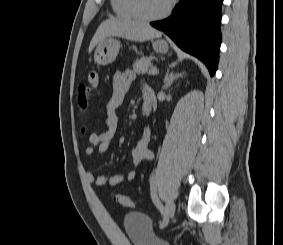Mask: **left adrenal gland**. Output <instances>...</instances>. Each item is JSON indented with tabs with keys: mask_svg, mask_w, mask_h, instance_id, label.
Instances as JSON below:
<instances>
[{
	"mask_svg": "<svg viewBox=\"0 0 283 245\" xmlns=\"http://www.w3.org/2000/svg\"><path fill=\"white\" fill-rule=\"evenodd\" d=\"M184 73H178V74H174V72H171L169 75H167L164 79V85L162 87V89H168L172 83L174 82V80L178 79L179 77H181Z\"/></svg>",
	"mask_w": 283,
	"mask_h": 245,
	"instance_id": "left-adrenal-gland-1",
	"label": "left adrenal gland"
}]
</instances>
